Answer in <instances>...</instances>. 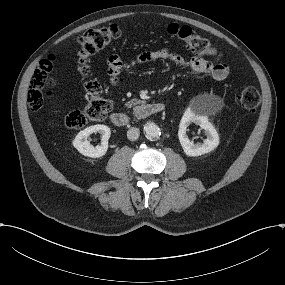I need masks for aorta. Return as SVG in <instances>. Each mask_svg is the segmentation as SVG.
<instances>
[{
    "instance_id": "1",
    "label": "aorta",
    "mask_w": 285,
    "mask_h": 285,
    "mask_svg": "<svg viewBox=\"0 0 285 285\" xmlns=\"http://www.w3.org/2000/svg\"><path fill=\"white\" fill-rule=\"evenodd\" d=\"M144 134L147 139L154 140L161 135L160 128L153 122H147L144 126Z\"/></svg>"
}]
</instances>
